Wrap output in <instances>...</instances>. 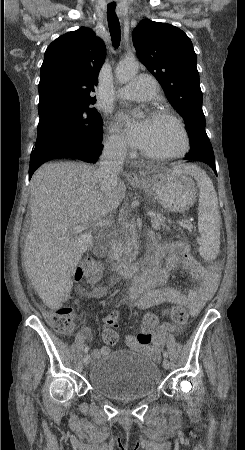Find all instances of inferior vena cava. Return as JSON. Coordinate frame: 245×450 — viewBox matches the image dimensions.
Returning <instances> with one entry per match:
<instances>
[{
  "label": "inferior vena cava",
  "instance_id": "602c4592",
  "mask_svg": "<svg viewBox=\"0 0 245 450\" xmlns=\"http://www.w3.org/2000/svg\"><path fill=\"white\" fill-rule=\"evenodd\" d=\"M126 156V145L120 141H112L104 146L100 164L96 170L101 189L109 196L118 182V173Z\"/></svg>",
  "mask_w": 245,
  "mask_h": 450
}]
</instances>
